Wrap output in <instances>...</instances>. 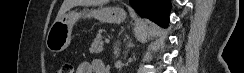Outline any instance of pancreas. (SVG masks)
I'll list each match as a JSON object with an SVG mask.
<instances>
[{"label":"pancreas","mask_w":244,"mask_h":73,"mask_svg":"<svg viewBox=\"0 0 244 73\" xmlns=\"http://www.w3.org/2000/svg\"><path fill=\"white\" fill-rule=\"evenodd\" d=\"M103 41L102 36L98 34L96 38L94 39L93 43L91 44V47L89 49L90 53L100 54L103 51Z\"/></svg>","instance_id":"1"}]
</instances>
